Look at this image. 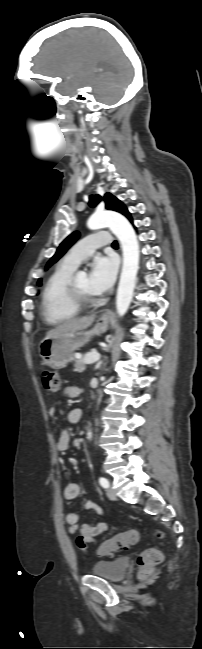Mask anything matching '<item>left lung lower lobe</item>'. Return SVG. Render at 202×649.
I'll list each match as a JSON object with an SVG mask.
<instances>
[{"mask_svg": "<svg viewBox=\"0 0 202 649\" xmlns=\"http://www.w3.org/2000/svg\"><path fill=\"white\" fill-rule=\"evenodd\" d=\"M128 219H129V220H130V221L132 222V217H131V216H130V217H128Z\"/></svg>", "mask_w": 202, "mask_h": 649, "instance_id": "1", "label": "left lung lower lobe"}]
</instances>
